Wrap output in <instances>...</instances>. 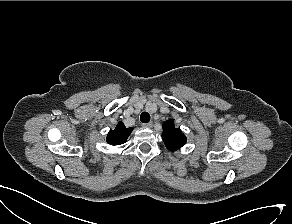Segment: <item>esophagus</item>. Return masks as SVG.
I'll use <instances>...</instances> for the list:
<instances>
[{"label":"esophagus","mask_w":292,"mask_h":224,"mask_svg":"<svg viewBox=\"0 0 292 224\" xmlns=\"http://www.w3.org/2000/svg\"><path fill=\"white\" fill-rule=\"evenodd\" d=\"M152 126H153V123L152 122L144 123L143 124V127H145V128H151Z\"/></svg>","instance_id":"1"}]
</instances>
